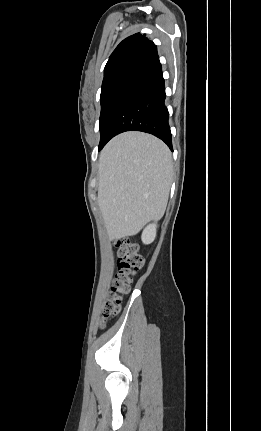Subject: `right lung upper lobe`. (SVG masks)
<instances>
[{"label":"right lung upper lobe","mask_w":261,"mask_h":431,"mask_svg":"<svg viewBox=\"0 0 261 431\" xmlns=\"http://www.w3.org/2000/svg\"><path fill=\"white\" fill-rule=\"evenodd\" d=\"M156 45L139 33L124 39L104 68L103 83L128 71H141L158 59Z\"/></svg>","instance_id":"obj_1"}]
</instances>
